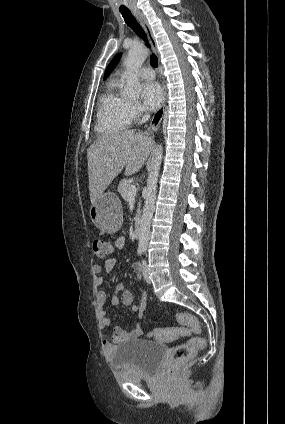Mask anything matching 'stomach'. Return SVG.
<instances>
[{
	"instance_id": "obj_1",
	"label": "stomach",
	"mask_w": 285,
	"mask_h": 424,
	"mask_svg": "<svg viewBox=\"0 0 285 424\" xmlns=\"http://www.w3.org/2000/svg\"><path fill=\"white\" fill-rule=\"evenodd\" d=\"M89 215L94 225L104 233L118 231L123 222V208L115 193H103L92 204Z\"/></svg>"
}]
</instances>
